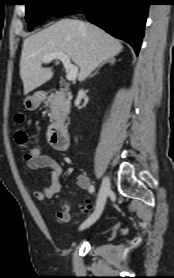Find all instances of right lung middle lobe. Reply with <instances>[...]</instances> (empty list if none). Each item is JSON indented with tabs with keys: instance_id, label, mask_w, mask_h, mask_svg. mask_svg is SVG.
I'll list each match as a JSON object with an SVG mask.
<instances>
[{
	"instance_id": "1",
	"label": "right lung middle lobe",
	"mask_w": 174,
	"mask_h": 278,
	"mask_svg": "<svg viewBox=\"0 0 174 278\" xmlns=\"http://www.w3.org/2000/svg\"><path fill=\"white\" fill-rule=\"evenodd\" d=\"M79 0H25L26 16L29 30L38 22L50 16L62 17L66 15Z\"/></svg>"
}]
</instances>
